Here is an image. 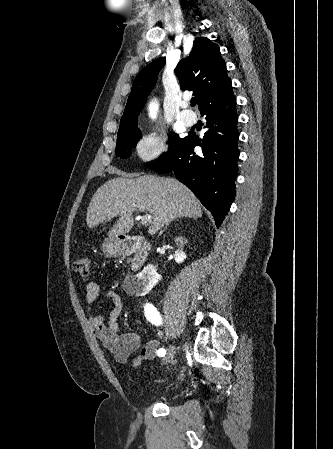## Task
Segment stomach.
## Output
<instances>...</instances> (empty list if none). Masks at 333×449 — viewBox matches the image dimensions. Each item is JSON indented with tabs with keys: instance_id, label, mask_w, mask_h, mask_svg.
I'll use <instances>...</instances> for the list:
<instances>
[{
	"instance_id": "1",
	"label": "stomach",
	"mask_w": 333,
	"mask_h": 449,
	"mask_svg": "<svg viewBox=\"0 0 333 449\" xmlns=\"http://www.w3.org/2000/svg\"><path fill=\"white\" fill-rule=\"evenodd\" d=\"M102 249L107 257H118L124 252L122 243L113 237L103 242Z\"/></svg>"
}]
</instances>
